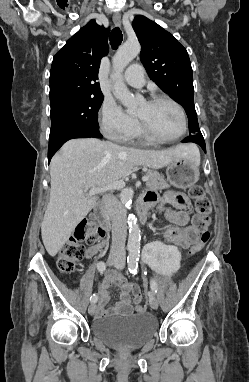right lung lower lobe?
Segmentation results:
<instances>
[{
  "label": "right lung lower lobe",
  "instance_id": "right-lung-lower-lobe-1",
  "mask_svg": "<svg viewBox=\"0 0 249 382\" xmlns=\"http://www.w3.org/2000/svg\"><path fill=\"white\" fill-rule=\"evenodd\" d=\"M102 138L103 136L99 132L98 128H77L73 130L66 131L57 136L49 138V148H48V163L55 152L68 140L74 138Z\"/></svg>",
  "mask_w": 249,
  "mask_h": 382
}]
</instances>
